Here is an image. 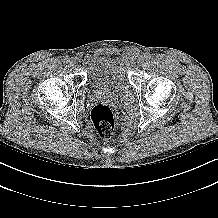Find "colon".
Segmentation results:
<instances>
[{
  "label": "colon",
  "mask_w": 218,
  "mask_h": 218,
  "mask_svg": "<svg viewBox=\"0 0 218 218\" xmlns=\"http://www.w3.org/2000/svg\"><path fill=\"white\" fill-rule=\"evenodd\" d=\"M90 122L102 139H108L114 130V113L107 105H96L90 112Z\"/></svg>",
  "instance_id": "1"
}]
</instances>
